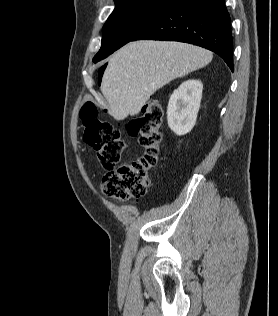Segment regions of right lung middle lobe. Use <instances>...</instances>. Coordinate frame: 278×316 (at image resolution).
<instances>
[{
  "label": "right lung middle lobe",
  "instance_id": "dd1d6c3e",
  "mask_svg": "<svg viewBox=\"0 0 278 316\" xmlns=\"http://www.w3.org/2000/svg\"><path fill=\"white\" fill-rule=\"evenodd\" d=\"M168 0H115L116 7L103 27L102 43L93 58L98 62L131 41L162 10Z\"/></svg>",
  "mask_w": 278,
  "mask_h": 316
}]
</instances>
